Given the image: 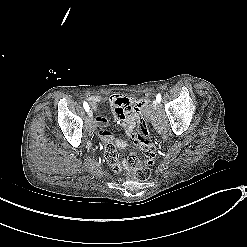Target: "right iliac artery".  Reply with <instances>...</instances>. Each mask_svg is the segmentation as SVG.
<instances>
[{"label": "right iliac artery", "instance_id": "right-iliac-artery-1", "mask_svg": "<svg viewBox=\"0 0 247 247\" xmlns=\"http://www.w3.org/2000/svg\"><path fill=\"white\" fill-rule=\"evenodd\" d=\"M83 107H84V109L88 112V110H89V105H88V103L87 102H83Z\"/></svg>", "mask_w": 247, "mask_h": 247}]
</instances>
